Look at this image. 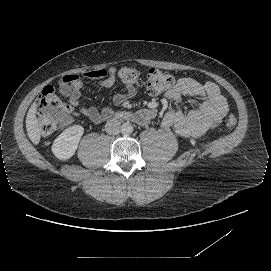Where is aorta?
Listing matches in <instances>:
<instances>
[{
    "mask_svg": "<svg viewBox=\"0 0 271 271\" xmlns=\"http://www.w3.org/2000/svg\"><path fill=\"white\" fill-rule=\"evenodd\" d=\"M121 131L125 135H130V134L133 133L134 128H133L132 124H130V123H124L122 125V127H121Z\"/></svg>",
    "mask_w": 271,
    "mask_h": 271,
    "instance_id": "762f6f07",
    "label": "aorta"
}]
</instances>
